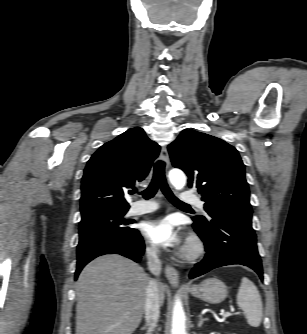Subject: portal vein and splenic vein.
<instances>
[{
    "label": "portal vein and splenic vein",
    "mask_w": 307,
    "mask_h": 334,
    "mask_svg": "<svg viewBox=\"0 0 307 334\" xmlns=\"http://www.w3.org/2000/svg\"><path fill=\"white\" fill-rule=\"evenodd\" d=\"M229 315H231V313L227 312L224 314V317H228Z\"/></svg>",
    "instance_id": "18ae733b"
}]
</instances>
